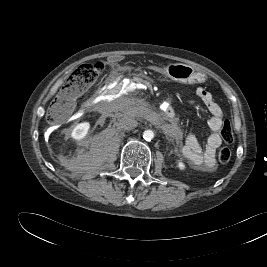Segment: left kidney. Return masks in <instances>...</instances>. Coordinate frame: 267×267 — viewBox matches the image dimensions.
<instances>
[{
	"mask_svg": "<svg viewBox=\"0 0 267 267\" xmlns=\"http://www.w3.org/2000/svg\"><path fill=\"white\" fill-rule=\"evenodd\" d=\"M177 165H178V168L180 170H184L185 169V164L183 162L179 161Z\"/></svg>",
	"mask_w": 267,
	"mask_h": 267,
	"instance_id": "5707ae66",
	"label": "left kidney"
}]
</instances>
